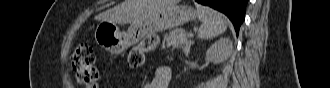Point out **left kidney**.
I'll list each match as a JSON object with an SVG mask.
<instances>
[{
    "label": "left kidney",
    "instance_id": "5707ae66",
    "mask_svg": "<svg viewBox=\"0 0 330 88\" xmlns=\"http://www.w3.org/2000/svg\"><path fill=\"white\" fill-rule=\"evenodd\" d=\"M232 51V41L229 38H221L207 50L206 59L215 64L223 63L229 59Z\"/></svg>",
    "mask_w": 330,
    "mask_h": 88
}]
</instances>
